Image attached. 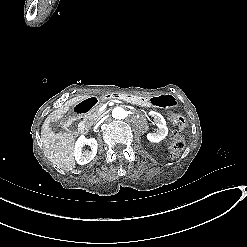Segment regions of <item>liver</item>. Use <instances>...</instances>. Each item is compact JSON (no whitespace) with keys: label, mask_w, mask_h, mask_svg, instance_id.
<instances>
[{"label":"liver","mask_w":247,"mask_h":247,"mask_svg":"<svg viewBox=\"0 0 247 247\" xmlns=\"http://www.w3.org/2000/svg\"><path fill=\"white\" fill-rule=\"evenodd\" d=\"M91 95L75 96L65 101L61 106L52 111L44 120L40 139L43 145V153L54 168L64 174L76 168L75 150L77 134L75 132H56L52 123L60 122L75 107Z\"/></svg>","instance_id":"1"}]
</instances>
